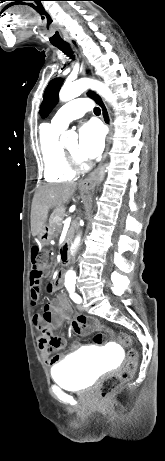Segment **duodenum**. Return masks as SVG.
<instances>
[{
  "label": "duodenum",
  "mask_w": 165,
  "mask_h": 461,
  "mask_svg": "<svg viewBox=\"0 0 165 461\" xmlns=\"http://www.w3.org/2000/svg\"><path fill=\"white\" fill-rule=\"evenodd\" d=\"M68 244H69V242H68V241H65V248H64V253H63V258H64V260L67 259V252H68V250H67V245H68Z\"/></svg>",
  "instance_id": "410a0bca"
}]
</instances>
